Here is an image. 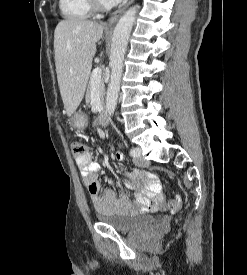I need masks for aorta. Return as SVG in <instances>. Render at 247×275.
<instances>
[{"label": "aorta", "instance_id": "762f6f07", "mask_svg": "<svg viewBox=\"0 0 247 275\" xmlns=\"http://www.w3.org/2000/svg\"><path fill=\"white\" fill-rule=\"evenodd\" d=\"M137 9V5L128 9L119 19L114 29L110 54L111 76L106 95V112L109 116H112L116 109L123 73V60L129 36L135 22Z\"/></svg>", "mask_w": 247, "mask_h": 275}]
</instances>
